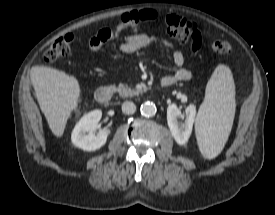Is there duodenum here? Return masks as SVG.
<instances>
[{
	"instance_id": "obj_1",
	"label": "duodenum",
	"mask_w": 275,
	"mask_h": 215,
	"mask_svg": "<svg viewBox=\"0 0 275 215\" xmlns=\"http://www.w3.org/2000/svg\"><path fill=\"white\" fill-rule=\"evenodd\" d=\"M161 85L167 87L171 85L168 81L161 80ZM114 95V90L111 87L99 88L95 93V98L99 103H107L111 100Z\"/></svg>"
}]
</instances>
